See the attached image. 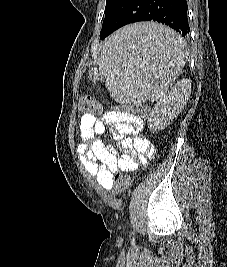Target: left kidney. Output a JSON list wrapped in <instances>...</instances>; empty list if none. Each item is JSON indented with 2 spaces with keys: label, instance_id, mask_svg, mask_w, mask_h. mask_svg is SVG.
<instances>
[{
  "label": "left kidney",
  "instance_id": "5707ae66",
  "mask_svg": "<svg viewBox=\"0 0 227 267\" xmlns=\"http://www.w3.org/2000/svg\"><path fill=\"white\" fill-rule=\"evenodd\" d=\"M191 93V80L181 79L155 104L148 118V128L157 132L164 129L186 105Z\"/></svg>",
  "mask_w": 227,
  "mask_h": 267
}]
</instances>
